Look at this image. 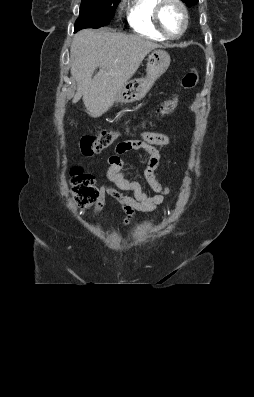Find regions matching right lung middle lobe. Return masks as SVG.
Returning a JSON list of instances; mask_svg holds the SVG:
<instances>
[{
	"instance_id": "right-lung-middle-lobe-1",
	"label": "right lung middle lobe",
	"mask_w": 254,
	"mask_h": 397,
	"mask_svg": "<svg viewBox=\"0 0 254 397\" xmlns=\"http://www.w3.org/2000/svg\"><path fill=\"white\" fill-rule=\"evenodd\" d=\"M120 0H82L75 32L84 28H100L110 23Z\"/></svg>"
}]
</instances>
